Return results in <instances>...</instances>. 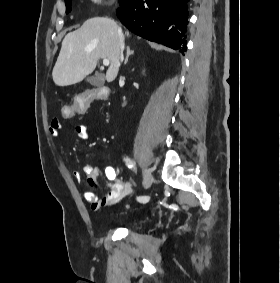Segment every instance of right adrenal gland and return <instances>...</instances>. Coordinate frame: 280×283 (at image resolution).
I'll return each mask as SVG.
<instances>
[{
  "label": "right adrenal gland",
  "instance_id": "2a0ac1e0",
  "mask_svg": "<svg viewBox=\"0 0 280 283\" xmlns=\"http://www.w3.org/2000/svg\"><path fill=\"white\" fill-rule=\"evenodd\" d=\"M133 54H134V51H133V50H130V47L127 46V55H126L124 64H127L129 56H130V55H133Z\"/></svg>",
  "mask_w": 280,
  "mask_h": 283
}]
</instances>
